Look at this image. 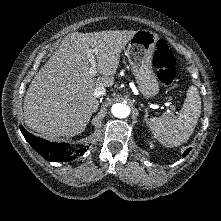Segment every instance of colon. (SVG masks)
I'll return each mask as SVG.
<instances>
[{
    "label": "colon",
    "instance_id": "obj_1",
    "mask_svg": "<svg viewBox=\"0 0 221 221\" xmlns=\"http://www.w3.org/2000/svg\"><path fill=\"white\" fill-rule=\"evenodd\" d=\"M153 65L157 71L158 80L166 86H171L176 78L174 56L164 40H158L153 56Z\"/></svg>",
    "mask_w": 221,
    "mask_h": 221
}]
</instances>
